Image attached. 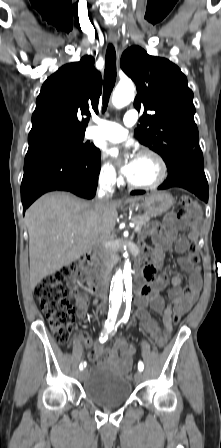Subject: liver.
<instances>
[{
    "label": "liver",
    "mask_w": 221,
    "mask_h": 448,
    "mask_svg": "<svg viewBox=\"0 0 221 448\" xmlns=\"http://www.w3.org/2000/svg\"><path fill=\"white\" fill-rule=\"evenodd\" d=\"M139 197L128 198L133 203ZM121 201H108L101 209L95 200L84 201L65 192H51L26 211L29 233L30 286L70 265L107 240L114 230Z\"/></svg>",
    "instance_id": "obj_1"
}]
</instances>
